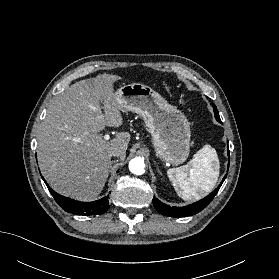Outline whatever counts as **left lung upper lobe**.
Listing matches in <instances>:
<instances>
[{"instance_id": "1", "label": "left lung upper lobe", "mask_w": 279, "mask_h": 279, "mask_svg": "<svg viewBox=\"0 0 279 279\" xmlns=\"http://www.w3.org/2000/svg\"><path fill=\"white\" fill-rule=\"evenodd\" d=\"M213 107H214V113H215V118H216V120L219 121V122H221L220 117H219V113H218V111H217V109H216V106L213 105Z\"/></svg>"}]
</instances>
